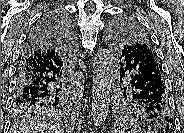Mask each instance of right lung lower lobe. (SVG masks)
<instances>
[{
  "label": "right lung lower lobe",
  "instance_id": "obj_1",
  "mask_svg": "<svg viewBox=\"0 0 184 133\" xmlns=\"http://www.w3.org/2000/svg\"><path fill=\"white\" fill-rule=\"evenodd\" d=\"M45 28L62 39V48L49 52L44 47L39 32ZM73 44V26L64 13L50 12L39 21L20 54L14 104L38 105L66 96L67 60Z\"/></svg>",
  "mask_w": 184,
  "mask_h": 133
}]
</instances>
